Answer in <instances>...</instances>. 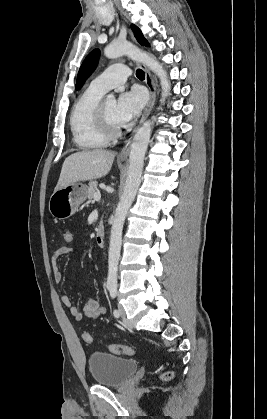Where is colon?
Returning a JSON list of instances; mask_svg holds the SVG:
<instances>
[{
  "mask_svg": "<svg viewBox=\"0 0 267 419\" xmlns=\"http://www.w3.org/2000/svg\"><path fill=\"white\" fill-rule=\"evenodd\" d=\"M62 238L66 245L74 246V233L70 229H65L62 232ZM82 338L86 343L92 342V336L88 332H83ZM109 351L114 354L133 355L135 348L129 345L111 344L108 347ZM173 376L172 371H167L163 374L164 379H170Z\"/></svg>",
  "mask_w": 267,
  "mask_h": 419,
  "instance_id": "colon-1",
  "label": "colon"
}]
</instances>
